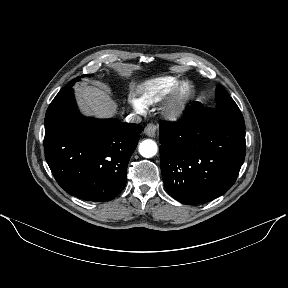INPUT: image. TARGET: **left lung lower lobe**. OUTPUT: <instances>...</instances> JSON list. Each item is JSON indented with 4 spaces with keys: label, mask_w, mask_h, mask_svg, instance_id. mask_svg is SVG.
Listing matches in <instances>:
<instances>
[{
    "label": "left lung lower lobe",
    "mask_w": 288,
    "mask_h": 288,
    "mask_svg": "<svg viewBox=\"0 0 288 288\" xmlns=\"http://www.w3.org/2000/svg\"><path fill=\"white\" fill-rule=\"evenodd\" d=\"M199 102L178 122H161L165 188L176 200L200 204L225 194L244 162L245 129L209 117Z\"/></svg>",
    "instance_id": "1"
}]
</instances>
